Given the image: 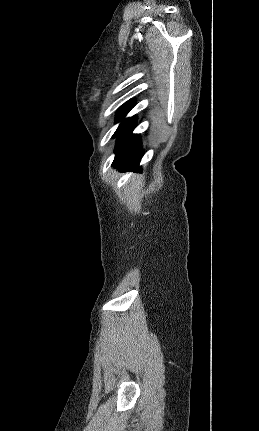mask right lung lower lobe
I'll return each instance as SVG.
<instances>
[{
  "instance_id": "1",
  "label": "right lung lower lobe",
  "mask_w": 259,
  "mask_h": 431,
  "mask_svg": "<svg viewBox=\"0 0 259 431\" xmlns=\"http://www.w3.org/2000/svg\"><path fill=\"white\" fill-rule=\"evenodd\" d=\"M135 120L125 119L114 137H118L115 147V159L113 166L121 171L135 170L140 171L139 162L143 156L141 152V138L138 134H132Z\"/></svg>"
}]
</instances>
